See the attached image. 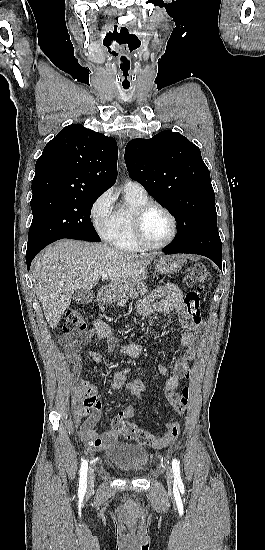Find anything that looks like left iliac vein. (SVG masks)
I'll return each mask as SVG.
<instances>
[{"label":"left iliac vein","instance_id":"obj_1","mask_svg":"<svg viewBox=\"0 0 265 550\" xmlns=\"http://www.w3.org/2000/svg\"><path fill=\"white\" fill-rule=\"evenodd\" d=\"M167 481L169 485H173L174 483V474L171 469H168L166 472Z\"/></svg>","mask_w":265,"mask_h":550}]
</instances>
